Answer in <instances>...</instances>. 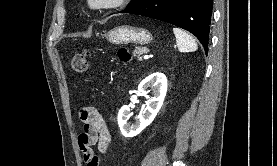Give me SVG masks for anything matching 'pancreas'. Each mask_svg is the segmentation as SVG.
<instances>
[{
    "label": "pancreas",
    "instance_id": "1",
    "mask_svg": "<svg viewBox=\"0 0 277 166\" xmlns=\"http://www.w3.org/2000/svg\"><path fill=\"white\" fill-rule=\"evenodd\" d=\"M148 50L146 48H141V47H137L134 51H133V56L137 57L139 60L142 59V55L143 53H146Z\"/></svg>",
    "mask_w": 277,
    "mask_h": 166
}]
</instances>
